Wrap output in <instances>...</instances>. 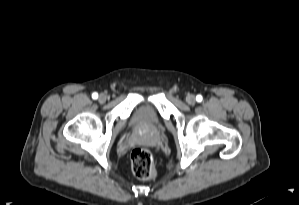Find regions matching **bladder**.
<instances>
[{"label": "bladder", "instance_id": "bladder-1", "mask_svg": "<svg viewBox=\"0 0 299 205\" xmlns=\"http://www.w3.org/2000/svg\"><path fill=\"white\" fill-rule=\"evenodd\" d=\"M129 126L134 130H152L160 126V120L148 106L143 105L133 112Z\"/></svg>", "mask_w": 299, "mask_h": 205}]
</instances>
